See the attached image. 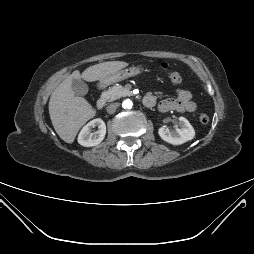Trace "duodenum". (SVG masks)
<instances>
[{
    "mask_svg": "<svg viewBox=\"0 0 254 254\" xmlns=\"http://www.w3.org/2000/svg\"><path fill=\"white\" fill-rule=\"evenodd\" d=\"M143 104L146 107H152L154 105V101L152 98L146 96L143 99ZM105 105H106V98L104 96L99 97L97 100V103H96L97 108L103 109L105 107Z\"/></svg>",
    "mask_w": 254,
    "mask_h": 254,
    "instance_id": "1",
    "label": "duodenum"
}]
</instances>
